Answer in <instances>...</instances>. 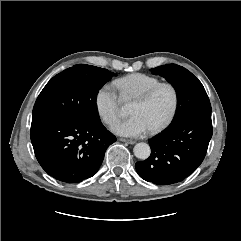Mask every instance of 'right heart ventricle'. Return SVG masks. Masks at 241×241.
I'll use <instances>...</instances> for the list:
<instances>
[{
	"instance_id": "1",
	"label": "right heart ventricle",
	"mask_w": 241,
	"mask_h": 241,
	"mask_svg": "<svg viewBox=\"0 0 241 241\" xmlns=\"http://www.w3.org/2000/svg\"><path fill=\"white\" fill-rule=\"evenodd\" d=\"M160 82V79L155 76L144 73H133L116 79L113 85L122 100H134Z\"/></svg>"
}]
</instances>
